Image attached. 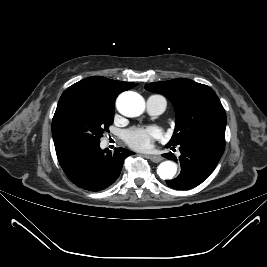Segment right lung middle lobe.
Listing matches in <instances>:
<instances>
[{"label":"right lung middle lobe","mask_w":267,"mask_h":267,"mask_svg":"<svg viewBox=\"0 0 267 267\" xmlns=\"http://www.w3.org/2000/svg\"><path fill=\"white\" fill-rule=\"evenodd\" d=\"M115 103L98 92L79 88L64 92L52 120L56 152L83 145L99 144L113 123Z\"/></svg>","instance_id":"obj_1"}]
</instances>
